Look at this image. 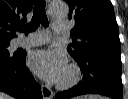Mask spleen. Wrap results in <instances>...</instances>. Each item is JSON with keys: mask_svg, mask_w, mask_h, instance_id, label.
Instances as JSON below:
<instances>
[{"mask_svg": "<svg viewBox=\"0 0 128 99\" xmlns=\"http://www.w3.org/2000/svg\"><path fill=\"white\" fill-rule=\"evenodd\" d=\"M89 98H91V99H98L97 96H90Z\"/></svg>", "mask_w": 128, "mask_h": 99, "instance_id": "spleen-1", "label": "spleen"}]
</instances>
